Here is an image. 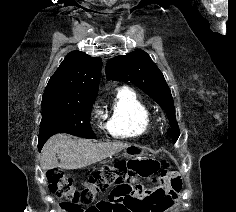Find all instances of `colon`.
<instances>
[{"label":"colon","instance_id":"colon-1","mask_svg":"<svg viewBox=\"0 0 236 212\" xmlns=\"http://www.w3.org/2000/svg\"><path fill=\"white\" fill-rule=\"evenodd\" d=\"M158 170L159 165L156 162L120 160L93 172L82 188H79L72 178L57 169L48 171L47 182L50 191L64 199L67 206L72 208L92 202L98 193L112 185L115 186V179H128V175H155ZM153 183H157V180H153Z\"/></svg>","mask_w":236,"mask_h":212}]
</instances>
